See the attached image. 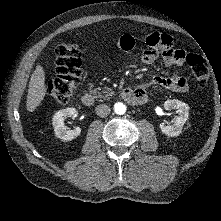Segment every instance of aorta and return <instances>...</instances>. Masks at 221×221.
Segmentation results:
<instances>
[{
  "instance_id": "762f6f07",
  "label": "aorta",
  "mask_w": 221,
  "mask_h": 221,
  "mask_svg": "<svg viewBox=\"0 0 221 221\" xmlns=\"http://www.w3.org/2000/svg\"><path fill=\"white\" fill-rule=\"evenodd\" d=\"M114 111L116 114L122 115L126 112V106L123 103H115Z\"/></svg>"
}]
</instances>
